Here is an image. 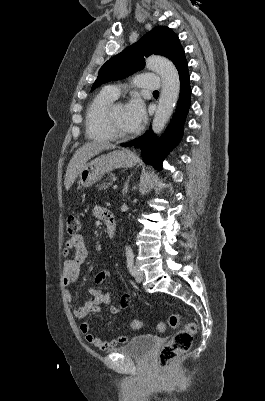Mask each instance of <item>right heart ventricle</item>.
<instances>
[{
	"mask_svg": "<svg viewBox=\"0 0 265 401\" xmlns=\"http://www.w3.org/2000/svg\"><path fill=\"white\" fill-rule=\"evenodd\" d=\"M116 98L105 88L94 96L88 104L85 113V128L86 135L90 139L98 141H109L112 139L103 125V119L106 111Z\"/></svg>",
	"mask_w": 265,
	"mask_h": 401,
	"instance_id": "1",
	"label": "right heart ventricle"
}]
</instances>
